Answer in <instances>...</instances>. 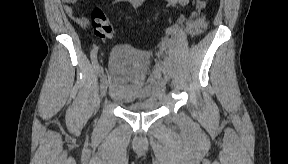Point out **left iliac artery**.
<instances>
[{
    "mask_svg": "<svg viewBox=\"0 0 288 164\" xmlns=\"http://www.w3.org/2000/svg\"><path fill=\"white\" fill-rule=\"evenodd\" d=\"M164 63H165V64H167V65H169V64H170V60H169V58H168V57H165V58H164Z\"/></svg>",
    "mask_w": 288,
    "mask_h": 164,
    "instance_id": "obj_1",
    "label": "left iliac artery"
}]
</instances>
